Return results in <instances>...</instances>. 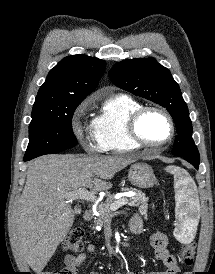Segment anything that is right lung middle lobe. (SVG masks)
I'll return each instance as SVG.
<instances>
[{"mask_svg": "<svg viewBox=\"0 0 215 274\" xmlns=\"http://www.w3.org/2000/svg\"><path fill=\"white\" fill-rule=\"evenodd\" d=\"M80 103H34L29 125V144L24 160L55 154L74 147L72 116Z\"/></svg>", "mask_w": 215, "mask_h": 274, "instance_id": "dd1d6c3e", "label": "right lung middle lobe"}]
</instances>
